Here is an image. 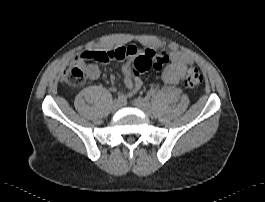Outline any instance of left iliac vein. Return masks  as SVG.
Here are the masks:
<instances>
[{
	"instance_id": "4c4485c4",
	"label": "left iliac vein",
	"mask_w": 265,
	"mask_h": 202,
	"mask_svg": "<svg viewBox=\"0 0 265 202\" xmlns=\"http://www.w3.org/2000/svg\"><path fill=\"white\" fill-rule=\"evenodd\" d=\"M134 105L136 108L143 111L147 116H150L152 114V109L150 102L145 98H136L134 100Z\"/></svg>"
}]
</instances>
